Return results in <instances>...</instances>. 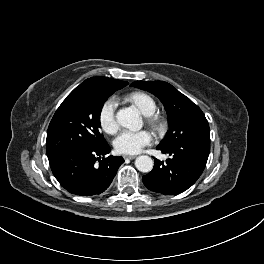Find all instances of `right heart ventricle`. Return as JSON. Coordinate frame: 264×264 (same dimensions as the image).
Masks as SVG:
<instances>
[{"instance_id": "e07e8e85", "label": "right heart ventricle", "mask_w": 264, "mask_h": 264, "mask_svg": "<svg viewBox=\"0 0 264 264\" xmlns=\"http://www.w3.org/2000/svg\"><path fill=\"white\" fill-rule=\"evenodd\" d=\"M126 99L146 116L154 114L157 110V104L154 98L145 92H132L127 95Z\"/></svg>"}]
</instances>
